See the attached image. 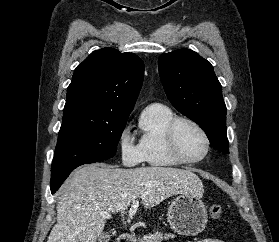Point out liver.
<instances>
[{
    "instance_id": "liver-1",
    "label": "liver",
    "mask_w": 279,
    "mask_h": 242,
    "mask_svg": "<svg viewBox=\"0 0 279 242\" xmlns=\"http://www.w3.org/2000/svg\"><path fill=\"white\" fill-rule=\"evenodd\" d=\"M203 184L188 170L170 167L121 169L89 164L76 169L56 193L57 224L47 242H96L104 213L126 210L138 198L151 208L173 195L202 197Z\"/></svg>"
}]
</instances>
